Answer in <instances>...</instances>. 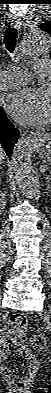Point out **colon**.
Here are the masks:
<instances>
[{
  "label": "colon",
  "mask_w": 51,
  "mask_h": 393,
  "mask_svg": "<svg viewBox=\"0 0 51 393\" xmlns=\"http://www.w3.org/2000/svg\"><path fill=\"white\" fill-rule=\"evenodd\" d=\"M27 324L24 314H11L7 326L3 329L1 341L2 369L20 390L25 389L36 367L34 355L24 346V329ZM31 345L36 352H42L46 348V340L37 334L32 336Z\"/></svg>",
  "instance_id": "obj_1"
}]
</instances>
